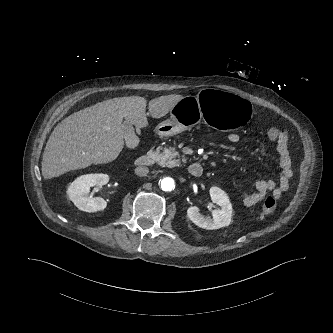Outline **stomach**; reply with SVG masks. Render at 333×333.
<instances>
[{"label": "stomach", "instance_id": "stomach-1", "mask_svg": "<svg viewBox=\"0 0 333 333\" xmlns=\"http://www.w3.org/2000/svg\"><path fill=\"white\" fill-rule=\"evenodd\" d=\"M206 123L219 130H234L247 125L253 116L250 101L242 95L219 87L203 90L197 98L183 97L171 109V118L156 127L162 137L174 136L189 129L197 120V109Z\"/></svg>", "mask_w": 333, "mask_h": 333}]
</instances>
